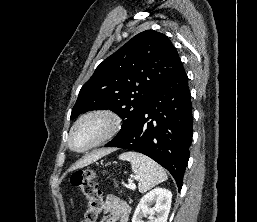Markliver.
<instances>
[{
    "mask_svg": "<svg viewBox=\"0 0 257 222\" xmlns=\"http://www.w3.org/2000/svg\"><path fill=\"white\" fill-rule=\"evenodd\" d=\"M110 152H111V149H106V150H101V151H98V152L93 153L91 155H88L87 157H85L84 159L80 160L78 163L73 165L70 168V170H75L77 168H81V167H84L86 165H89L90 163L98 160L99 158L103 157L106 154H109Z\"/></svg>",
    "mask_w": 257,
    "mask_h": 222,
    "instance_id": "liver-1",
    "label": "liver"
}]
</instances>
